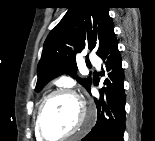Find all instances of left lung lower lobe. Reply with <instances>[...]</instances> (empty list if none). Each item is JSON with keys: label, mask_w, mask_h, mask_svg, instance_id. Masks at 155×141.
Masks as SVG:
<instances>
[{"label": "left lung lower lobe", "mask_w": 155, "mask_h": 141, "mask_svg": "<svg viewBox=\"0 0 155 141\" xmlns=\"http://www.w3.org/2000/svg\"><path fill=\"white\" fill-rule=\"evenodd\" d=\"M99 57L104 62L108 78L104 81L106 87L100 90V100L95 99L97 122L82 141H123L126 115L124 71L115 35L109 39Z\"/></svg>", "instance_id": "obj_1"}]
</instances>
